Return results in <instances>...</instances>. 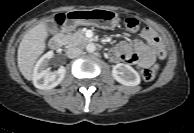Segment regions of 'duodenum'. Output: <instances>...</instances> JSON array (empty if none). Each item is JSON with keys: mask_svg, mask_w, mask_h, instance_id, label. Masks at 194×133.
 Returning <instances> with one entry per match:
<instances>
[{"mask_svg": "<svg viewBox=\"0 0 194 133\" xmlns=\"http://www.w3.org/2000/svg\"><path fill=\"white\" fill-rule=\"evenodd\" d=\"M70 27L69 24H67L65 27H64V30H68ZM86 42L87 43H93V40L90 39V38H87L86 39ZM63 44V33H60V34H57L55 35L49 42V46L52 50H58L61 48Z\"/></svg>", "mask_w": 194, "mask_h": 133, "instance_id": "410a0bca", "label": "duodenum"}]
</instances>
